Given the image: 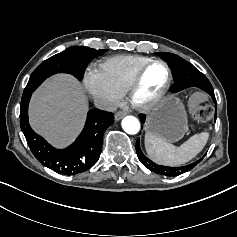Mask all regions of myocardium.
Here are the masks:
<instances>
[{
	"label": "myocardium",
	"mask_w": 237,
	"mask_h": 237,
	"mask_svg": "<svg viewBox=\"0 0 237 237\" xmlns=\"http://www.w3.org/2000/svg\"><path fill=\"white\" fill-rule=\"evenodd\" d=\"M154 64H160L165 68L166 73H167L165 83L162 86V88L154 96H152L151 98L145 101H139L137 99V93L141 86L143 76L145 72L147 71V69ZM171 82H172V71H171L170 66L165 61L160 60V59L150 60L140 68V70L137 72V74L133 78L127 90L128 101L135 110L139 112H143V113L148 112L154 109L156 106H158L161 103V101L164 99V97L166 96L170 88Z\"/></svg>",
	"instance_id": "obj_1"
}]
</instances>
